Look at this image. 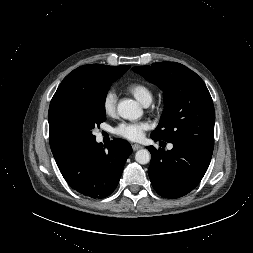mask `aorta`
Segmentation results:
<instances>
[{"label": "aorta", "mask_w": 253, "mask_h": 253, "mask_svg": "<svg viewBox=\"0 0 253 253\" xmlns=\"http://www.w3.org/2000/svg\"><path fill=\"white\" fill-rule=\"evenodd\" d=\"M117 111L120 117L134 121L142 116V110L136 101L126 99L118 103ZM150 152L147 149H140L135 154V160L139 164H147L150 161Z\"/></svg>", "instance_id": "1"}]
</instances>
